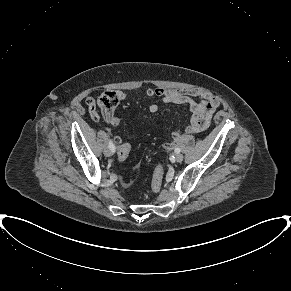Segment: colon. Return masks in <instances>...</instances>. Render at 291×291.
Listing matches in <instances>:
<instances>
[{"label":"colon","mask_w":291,"mask_h":291,"mask_svg":"<svg viewBox=\"0 0 291 291\" xmlns=\"http://www.w3.org/2000/svg\"><path fill=\"white\" fill-rule=\"evenodd\" d=\"M119 95L117 92L108 90L103 92L99 99L98 104L103 111H111L113 110L119 103ZM131 151V146L129 143H124L122 146L118 148L117 158L120 161H124L129 157ZM163 180V167L158 165L153 174L151 188L154 192H158Z\"/></svg>","instance_id":"1"}]
</instances>
